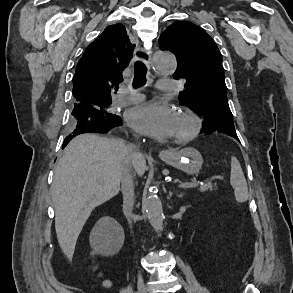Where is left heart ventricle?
<instances>
[{
  "label": "left heart ventricle",
  "mask_w": 293,
  "mask_h": 293,
  "mask_svg": "<svg viewBox=\"0 0 293 293\" xmlns=\"http://www.w3.org/2000/svg\"><path fill=\"white\" fill-rule=\"evenodd\" d=\"M189 129V123L184 119H181L176 116L175 124H174V131L173 135H178L185 133Z\"/></svg>",
  "instance_id": "b2bd125f"
}]
</instances>
